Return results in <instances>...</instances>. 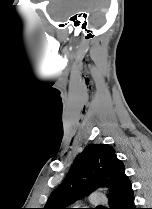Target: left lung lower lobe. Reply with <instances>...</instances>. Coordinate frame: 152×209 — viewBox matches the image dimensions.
<instances>
[{"mask_svg":"<svg viewBox=\"0 0 152 209\" xmlns=\"http://www.w3.org/2000/svg\"><path fill=\"white\" fill-rule=\"evenodd\" d=\"M110 209H137L134 204L132 185L127 179L119 191L110 199Z\"/></svg>","mask_w":152,"mask_h":209,"instance_id":"0a47b994","label":"left lung lower lobe"}]
</instances>
